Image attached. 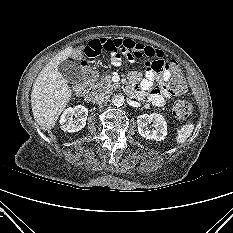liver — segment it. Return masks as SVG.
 Masks as SVG:
<instances>
[{
  "mask_svg": "<svg viewBox=\"0 0 233 233\" xmlns=\"http://www.w3.org/2000/svg\"><path fill=\"white\" fill-rule=\"evenodd\" d=\"M74 53L73 47H67L55 55L41 70L33 84L31 107L37 124L42 129H51L56 125L72 97L67 80L58 71V65Z\"/></svg>",
  "mask_w": 233,
  "mask_h": 233,
  "instance_id": "liver-1",
  "label": "liver"
}]
</instances>
